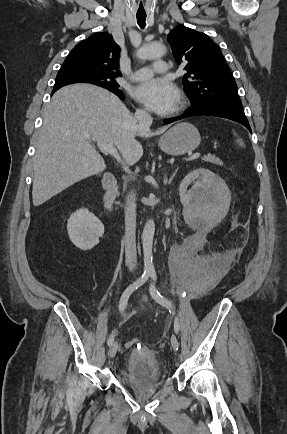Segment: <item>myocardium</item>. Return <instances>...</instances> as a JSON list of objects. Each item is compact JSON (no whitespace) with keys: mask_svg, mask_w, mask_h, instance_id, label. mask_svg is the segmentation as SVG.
I'll use <instances>...</instances> for the list:
<instances>
[{"mask_svg":"<svg viewBox=\"0 0 287 434\" xmlns=\"http://www.w3.org/2000/svg\"><path fill=\"white\" fill-rule=\"evenodd\" d=\"M184 106H185V99L181 96L180 99H179V101H178V105H177V107H176V109H175L174 112L181 111L184 108Z\"/></svg>","mask_w":287,"mask_h":434,"instance_id":"1","label":"myocardium"}]
</instances>
